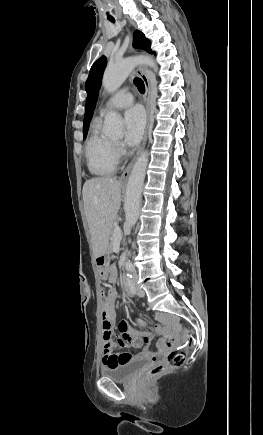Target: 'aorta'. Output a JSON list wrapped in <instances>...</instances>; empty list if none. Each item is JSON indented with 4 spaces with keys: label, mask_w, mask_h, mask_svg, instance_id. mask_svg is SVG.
Returning a JSON list of instances; mask_svg holds the SVG:
<instances>
[{
    "label": "aorta",
    "mask_w": 263,
    "mask_h": 435,
    "mask_svg": "<svg viewBox=\"0 0 263 435\" xmlns=\"http://www.w3.org/2000/svg\"><path fill=\"white\" fill-rule=\"evenodd\" d=\"M141 63L157 70V66L151 57L140 56L136 58H126L121 62L106 68L102 79V85L109 92L116 91L127 79L134 67ZM103 130L106 135L121 136L123 134L122 118L115 112H109L105 117ZM147 163L148 152L145 151L135 162L129 176L124 209L126 219L125 224L130 228L133 227L138 220ZM125 267L127 271L131 269L132 264L130 261L125 263Z\"/></svg>",
    "instance_id": "aorta-1"
}]
</instances>
